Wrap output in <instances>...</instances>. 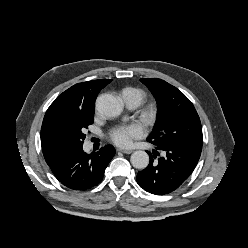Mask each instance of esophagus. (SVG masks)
Wrapping results in <instances>:
<instances>
[{
  "mask_svg": "<svg viewBox=\"0 0 248 248\" xmlns=\"http://www.w3.org/2000/svg\"><path fill=\"white\" fill-rule=\"evenodd\" d=\"M118 151L124 153V154H131L133 152V150L131 149H118Z\"/></svg>",
  "mask_w": 248,
  "mask_h": 248,
  "instance_id": "obj_1",
  "label": "esophagus"
}]
</instances>
